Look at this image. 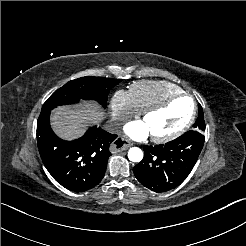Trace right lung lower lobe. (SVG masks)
I'll use <instances>...</instances> for the list:
<instances>
[{
  "label": "right lung lower lobe",
  "mask_w": 246,
  "mask_h": 246,
  "mask_svg": "<svg viewBox=\"0 0 246 246\" xmlns=\"http://www.w3.org/2000/svg\"><path fill=\"white\" fill-rule=\"evenodd\" d=\"M50 111L37 120V142L42 161L52 177L63 187L84 192L102 180L109 156L110 143L117 135L100 128H90L74 141L57 137L49 123Z\"/></svg>",
  "instance_id": "1"
}]
</instances>
